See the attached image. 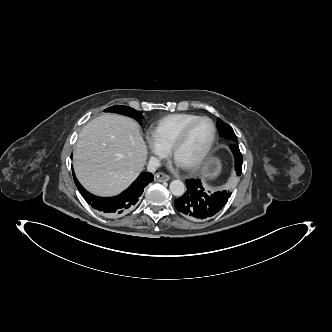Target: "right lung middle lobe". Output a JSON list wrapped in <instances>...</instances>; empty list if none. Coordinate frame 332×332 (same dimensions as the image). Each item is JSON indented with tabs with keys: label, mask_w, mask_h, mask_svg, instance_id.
<instances>
[{
	"label": "right lung middle lobe",
	"mask_w": 332,
	"mask_h": 332,
	"mask_svg": "<svg viewBox=\"0 0 332 332\" xmlns=\"http://www.w3.org/2000/svg\"><path fill=\"white\" fill-rule=\"evenodd\" d=\"M105 112H114L122 115H126L132 118H141V112L137 111L133 108H130L128 106H121V105H116L109 107L104 110Z\"/></svg>",
	"instance_id": "obj_1"
}]
</instances>
